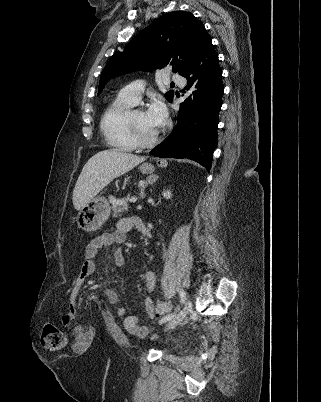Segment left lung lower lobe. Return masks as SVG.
<instances>
[{"mask_svg":"<svg viewBox=\"0 0 321 402\" xmlns=\"http://www.w3.org/2000/svg\"><path fill=\"white\" fill-rule=\"evenodd\" d=\"M191 95L181 103L177 127L150 154L166 158H188L210 170L218 142V113L224 91L222 70L211 38L182 73Z\"/></svg>","mask_w":321,"mask_h":402,"instance_id":"0a47b994","label":"left lung lower lobe"}]
</instances>
